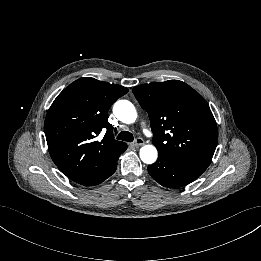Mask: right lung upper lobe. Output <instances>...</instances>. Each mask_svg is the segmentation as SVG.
Listing matches in <instances>:
<instances>
[{"instance_id":"1","label":"right lung upper lobe","mask_w":261,"mask_h":261,"mask_svg":"<svg viewBox=\"0 0 261 261\" xmlns=\"http://www.w3.org/2000/svg\"><path fill=\"white\" fill-rule=\"evenodd\" d=\"M127 92V88L117 84L80 78L51 105L45 119L50 156L71 180L81 181L100 173L126 150V143L114 139L107 112ZM103 128L107 132L98 141Z\"/></svg>"}]
</instances>
